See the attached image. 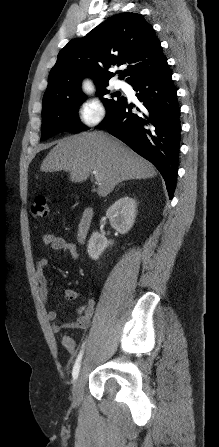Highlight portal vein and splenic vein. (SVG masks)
Segmentation results:
<instances>
[{
	"label": "portal vein and splenic vein",
	"instance_id": "obj_1",
	"mask_svg": "<svg viewBox=\"0 0 219 447\" xmlns=\"http://www.w3.org/2000/svg\"><path fill=\"white\" fill-rule=\"evenodd\" d=\"M93 174L96 176V172L95 171H93Z\"/></svg>",
	"mask_w": 219,
	"mask_h": 447
}]
</instances>
